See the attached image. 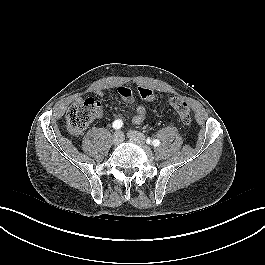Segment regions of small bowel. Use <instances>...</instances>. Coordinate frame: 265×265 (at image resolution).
<instances>
[{"label": "small bowel", "instance_id": "small-bowel-1", "mask_svg": "<svg viewBox=\"0 0 265 265\" xmlns=\"http://www.w3.org/2000/svg\"><path fill=\"white\" fill-rule=\"evenodd\" d=\"M118 92L126 103L132 104L134 102L135 98H134V95H133L131 89H129L127 87H120L118 89ZM98 94L102 95V92L98 91ZM145 115H146L145 106H143V105L137 106L135 115L132 118V122L134 124H137V125L141 124L144 121Z\"/></svg>", "mask_w": 265, "mask_h": 265}]
</instances>
